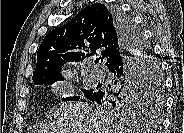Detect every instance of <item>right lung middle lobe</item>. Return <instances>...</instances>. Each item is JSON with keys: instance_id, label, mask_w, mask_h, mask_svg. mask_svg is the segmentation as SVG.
<instances>
[{"instance_id": "obj_1", "label": "right lung middle lobe", "mask_w": 184, "mask_h": 133, "mask_svg": "<svg viewBox=\"0 0 184 133\" xmlns=\"http://www.w3.org/2000/svg\"><path fill=\"white\" fill-rule=\"evenodd\" d=\"M128 18V17H127ZM128 20L132 24V29L136 35V38L139 41H142V44L145 48L146 55V67L144 71L143 80L132 87V89L127 93V95L118 97L114 99L109 105L113 112L121 113V112H132L139 111L143 108H146L149 105L153 107H160L163 102L162 91H163V80L161 75V70L158 62L155 60L152 51L148 44L144 41L141 31L134 25L130 18ZM64 78L62 76H51L42 78L37 81L36 85H51L55 81H63ZM85 97L89 94L94 93L96 90H83ZM80 97L74 96L70 98H64L63 100H77Z\"/></svg>"}]
</instances>
